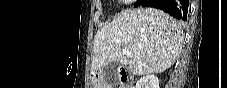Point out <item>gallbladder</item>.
I'll return each mask as SVG.
<instances>
[{
	"mask_svg": "<svg viewBox=\"0 0 227 88\" xmlns=\"http://www.w3.org/2000/svg\"><path fill=\"white\" fill-rule=\"evenodd\" d=\"M119 62H110L102 69L103 80L108 84L115 86L118 83Z\"/></svg>",
	"mask_w": 227,
	"mask_h": 88,
	"instance_id": "obj_1",
	"label": "gallbladder"
}]
</instances>
